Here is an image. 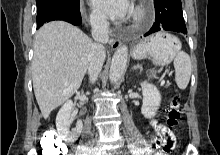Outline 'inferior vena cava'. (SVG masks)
<instances>
[{"label":"inferior vena cava","instance_id":"1","mask_svg":"<svg viewBox=\"0 0 220 155\" xmlns=\"http://www.w3.org/2000/svg\"><path fill=\"white\" fill-rule=\"evenodd\" d=\"M92 27V37L94 43L89 54L88 74L91 83H94L102 69L105 60V47L109 40L108 30L109 23L104 14L94 13L90 16Z\"/></svg>","mask_w":220,"mask_h":155}]
</instances>
